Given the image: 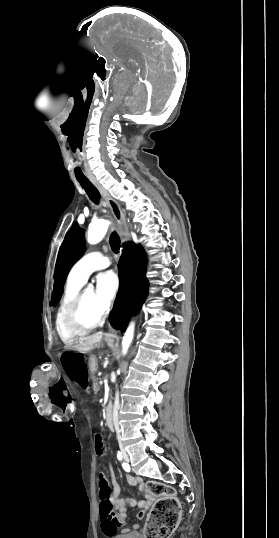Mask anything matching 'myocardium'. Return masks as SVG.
Here are the masks:
<instances>
[{"instance_id":"myocardium-1","label":"myocardium","mask_w":279,"mask_h":538,"mask_svg":"<svg viewBox=\"0 0 279 538\" xmlns=\"http://www.w3.org/2000/svg\"><path fill=\"white\" fill-rule=\"evenodd\" d=\"M88 289H82L73 301L68 305L63 316V327L65 331L74 336H80L95 330L104 320L105 314L92 321L82 318V311L85 306V295Z\"/></svg>"}]
</instances>
